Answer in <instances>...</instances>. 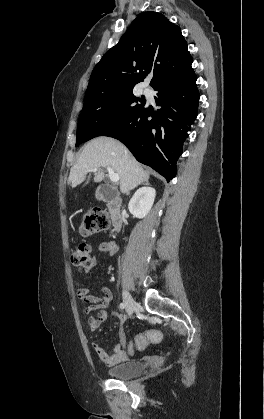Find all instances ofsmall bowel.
Returning <instances> with one entry per match:
<instances>
[{
  "label": "small bowel",
  "mask_w": 264,
  "mask_h": 419,
  "mask_svg": "<svg viewBox=\"0 0 264 419\" xmlns=\"http://www.w3.org/2000/svg\"><path fill=\"white\" fill-rule=\"evenodd\" d=\"M98 250L100 252L106 253L110 256H114L117 252V247L115 245V243L113 241H102L99 243L98 245ZM94 265V263H92V265L90 267H79L76 269L75 271V275L76 277L81 276L82 274L88 272L90 270V268ZM77 285H78V297L84 301V302H93L95 303V305L93 307H85L84 308V313L89 314L92 310V308L96 309L99 311V313L97 314V316H90L88 318V324H89V329L90 331H96L99 329V327L101 326V324L106 320L107 318V311L106 309L108 308L111 300H112V292L110 291V289L103 287L101 289L102 295L101 297H94L90 294V290L88 288L85 287H81L80 283L77 281ZM114 317L116 318L117 322H118V327H117V334H118V338H119V342L117 345H115V347L113 348V351L111 353H108L106 350H104L103 348H101L99 345L94 344V350L96 352V354L98 355V357L100 358V360L105 363L107 366H114V365H118L120 363H123L125 361L128 360V357L130 355H133L135 353L134 350H132L130 343L127 342V338L123 329V323L125 321V316L123 314H119V313H115ZM153 332H155L156 334V339L154 341V343H157L161 340L162 338V334L160 331L154 330Z\"/></svg>",
  "instance_id": "c3829d8e"
}]
</instances>
